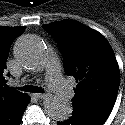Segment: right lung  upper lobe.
<instances>
[{"label": "right lung upper lobe", "mask_w": 125, "mask_h": 125, "mask_svg": "<svg viewBox=\"0 0 125 125\" xmlns=\"http://www.w3.org/2000/svg\"><path fill=\"white\" fill-rule=\"evenodd\" d=\"M24 31L25 27L23 26L14 28L0 26V108L8 105L23 94L14 88L7 87L3 73L6 69V60L12 42Z\"/></svg>", "instance_id": "cb5924a9"}]
</instances>
